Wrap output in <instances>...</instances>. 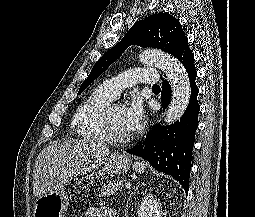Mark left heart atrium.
I'll list each match as a JSON object with an SVG mask.
<instances>
[{"instance_id": "39dd6f15", "label": "left heart atrium", "mask_w": 255, "mask_h": 217, "mask_svg": "<svg viewBox=\"0 0 255 217\" xmlns=\"http://www.w3.org/2000/svg\"><path fill=\"white\" fill-rule=\"evenodd\" d=\"M145 120V112L139 101L125 107V123L129 133L138 131Z\"/></svg>"}]
</instances>
